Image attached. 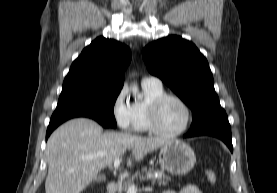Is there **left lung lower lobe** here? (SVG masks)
<instances>
[{"mask_svg":"<svg viewBox=\"0 0 277 193\" xmlns=\"http://www.w3.org/2000/svg\"><path fill=\"white\" fill-rule=\"evenodd\" d=\"M202 135L214 136L221 139L229 147L230 151L233 152L231 128L227 115L212 118L209 121L190 129L184 137Z\"/></svg>","mask_w":277,"mask_h":193,"instance_id":"0a47b994","label":"left lung lower lobe"}]
</instances>
